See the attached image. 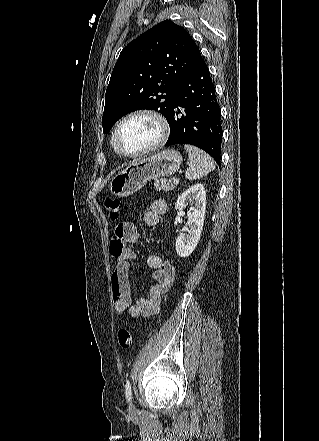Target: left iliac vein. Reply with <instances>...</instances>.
<instances>
[{
    "mask_svg": "<svg viewBox=\"0 0 319 441\" xmlns=\"http://www.w3.org/2000/svg\"><path fill=\"white\" fill-rule=\"evenodd\" d=\"M129 408H130L131 411H135V407L133 406V404H130Z\"/></svg>",
    "mask_w": 319,
    "mask_h": 441,
    "instance_id": "1",
    "label": "left iliac vein"
}]
</instances>
